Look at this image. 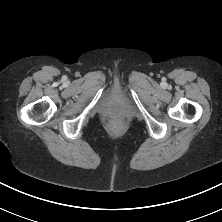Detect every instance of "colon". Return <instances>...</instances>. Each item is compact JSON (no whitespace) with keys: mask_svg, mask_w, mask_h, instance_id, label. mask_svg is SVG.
I'll list each match as a JSON object with an SVG mask.
<instances>
[{"mask_svg":"<svg viewBox=\"0 0 222 222\" xmlns=\"http://www.w3.org/2000/svg\"><path fill=\"white\" fill-rule=\"evenodd\" d=\"M110 123L113 125V126H118L120 125L121 121L118 117H113L110 121Z\"/></svg>","mask_w":222,"mask_h":222,"instance_id":"1","label":"colon"}]
</instances>
